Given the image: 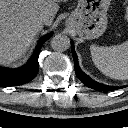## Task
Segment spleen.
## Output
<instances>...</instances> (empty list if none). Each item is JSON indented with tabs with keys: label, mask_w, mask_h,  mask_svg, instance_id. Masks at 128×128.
<instances>
[{
	"label": "spleen",
	"mask_w": 128,
	"mask_h": 128,
	"mask_svg": "<svg viewBox=\"0 0 128 128\" xmlns=\"http://www.w3.org/2000/svg\"><path fill=\"white\" fill-rule=\"evenodd\" d=\"M90 51L94 64L106 76L128 79V41L109 47L92 44Z\"/></svg>",
	"instance_id": "3e777b00"
}]
</instances>
